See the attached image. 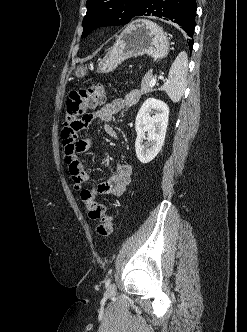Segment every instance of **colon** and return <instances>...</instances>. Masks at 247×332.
<instances>
[{"instance_id":"colon-1","label":"colon","mask_w":247,"mask_h":332,"mask_svg":"<svg viewBox=\"0 0 247 332\" xmlns=\"http://www.w3.org/2000/svg\"><path fill=\"white\" fill-rule=\"evenodd\" d=\"M105 99L106 88L102 84L72 91L65 103L63 139H68L82 129L86 125V110L101 105ZM81 199L86 206L89 217L98 221L97 233L101 236L110 235L113 231V220L107 214L105 206L96 201L94 194L89 189L82 190Z\"/></svg>"}]
</instances>
